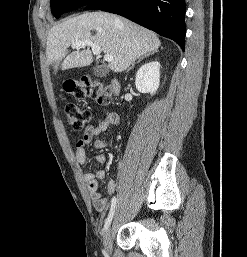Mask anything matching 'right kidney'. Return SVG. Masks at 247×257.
Listing matches in <instances>:
<instances>
[{
    "label": "right kidney",
    "instance_id": "right-kidney-1",
    "mask_svg": "<svg viewBox=\"0 0 247 257\" xmlns=\"http://www.w3.org/2000/svg\"><path fill=\"white\" fill-rule=\"evenodd\" d=\"M160 83V63L151 61L140 67L136 74V88L141 93L155 94Z\"/></svg>",
    "mask_w": 247,
    "mask_h": 257
}]
</instances>
